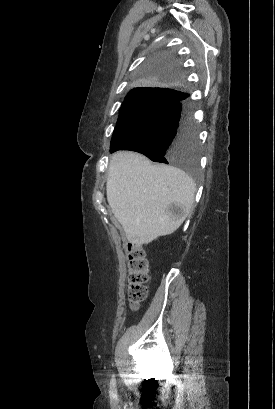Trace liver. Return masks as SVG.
<instances>
[{
  "mask_svg": "<svg viewBox=\"0 0 275 409\" xmlns=\"http://www.w3.org/2000/svg\"><path fill=\"white\" fill-rule=\"evenodd\" d=\"M195 190V180L177 166L151 164L147 156L129 150L111 156L107 200L128 241L136 247L177 231L192 209ZM170 202L186 211L179 221H172L166 213Z\"/></svg>",
  "mask_w": 275,
  "mask_h": 409,
  "instance_id": "obj_1",
  "label": "liver"
}]
</instances>
